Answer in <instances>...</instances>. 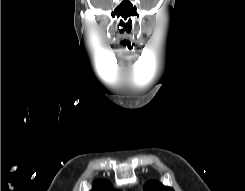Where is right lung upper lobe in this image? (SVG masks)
<instances>
[{
	"label": "right lung upper lobe",
	"mask_w": 245,
	"mask_h": 191,
	"mask_svg": "<svg viewBox=\"0 0 245 191\" xmlns=\"http://www.w3.org/2000/svg\"><path fill=\"white\" fill-rule=\"evenodd\" d=\"M91 191H116L108 181H96Z\"/></svg>",
	"instance_id": "cb5924a9"
}]
</instances>
